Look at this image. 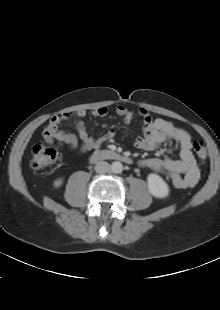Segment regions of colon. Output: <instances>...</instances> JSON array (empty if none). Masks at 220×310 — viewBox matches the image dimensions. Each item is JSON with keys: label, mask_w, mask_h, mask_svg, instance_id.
<instances>
[{"label": "colon", "mask_w": 220, "mask_h": 310, "mask_svg": "<svg viewBox=\"0 0 220 310\" xmlns=\"http://www.w3.org/2000/svg\"><path fill=\"white\" fill-rule=\"evenodd\" d=\"M195 154L199 161L205 162L208 157V151L206 146L197 141L193 145ZM32 157L30 160V166L35 170L44 169L57 163L60 159V153L58 150L47 147L42 143H36L31 149Z\"/></svg>", "instance_id": "colon-1"}]
</instances>
